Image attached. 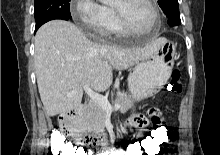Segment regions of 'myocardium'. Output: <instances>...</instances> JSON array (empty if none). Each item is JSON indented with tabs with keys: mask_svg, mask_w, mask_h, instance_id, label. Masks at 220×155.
Wrapping results in <instances>:
<instances>
[{
	"mask_svg": "<svg viewBox=\"0 0 220 155\" xmlns=\"http://www.w3.org/2000/svg\"><path fill=\"white\" fill-rule=\"evenodd\" d=\"M145 1L147 2V4L149 5L151 9L152 22L149 27H147L146 29H142V30L133 28L127 21L123 11L120 8L114 7V11L118 18V21L127 34H140V35L148 34L158 27L160 23V15H159L156 2L155 0H145Z\"/></svg>",
	"mask_w": 220,
	"mask_h": 155,
	"instance_id": "1",
	"label": "myocardium"
}]
</instances>
